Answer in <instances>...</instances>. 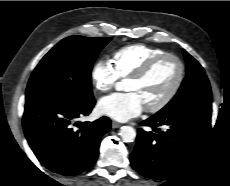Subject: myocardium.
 <instances>
[{"instance_id": "f54148a6", "label": "myocardium", "mask_w": 230, "mask_h": 186, "mask_svg": "<svg viewBox=\"0 0 230 186\" xmlns=\"http://www.w3.org/2000/svg\"><path fill=\"white\" fill-rule=\"evenodd\" d=\"M166 59H171L176 62L178 66L177 78L168 93L160 101L145 107V110L150 113H155L164 109L177 95L185 79L186 68L184 62L175 54L163 53L148 60L135 73L128 77V80L140 81L144 79L160 62Z\"/></svg>"}]
</instances>
